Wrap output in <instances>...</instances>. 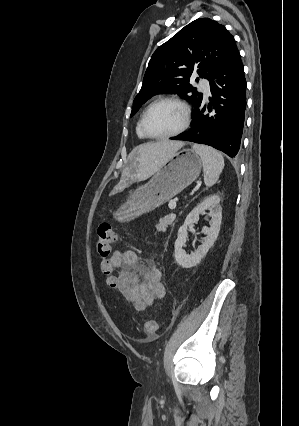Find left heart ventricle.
<instances>
[{"label":"left heart ventricle","instance_id":"b2bd125f","mask_svg":"<svg viewBox=\"0 0 299 426\" xmlns=\"http://www.w3.org/2000/svg\"><path fill=\"white\" fill-rule=\"evenodd\" d=\"M184 114L177 104L164 102L156 105L148 115L146 125L150 133L165 135L180 128Z\"/></svg>","mask_w":299,"mask_h":426}]
</instances>
